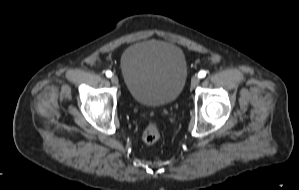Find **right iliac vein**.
Listing matches in <instances>:
<instances>
[{"instance_id":"63e3f726","label":"right iliac vein","mask_w":299,"mask_h":190,"mask_svg":"<svg viewBox=\"0 0 299 190\" xmlns=\"http://www.w3.org/2000/svg\"><path fill=\"white\" fill-rule=\"evenodd\" d=\"M111 82L114 84V85H117L118 84V77L116 75H113L111 77Z\"/></svg>"}]
</instances>
